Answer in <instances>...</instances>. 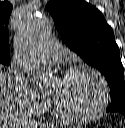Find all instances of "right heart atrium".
<instances>
[{
  "mask_svg": "<svg viewBox=\"0 0 125 128\" xmlns=\"http://www.w3.org/2000/svg\"><path fill=\"white\" fill-rule=\"evenodd\" d=\"M11 86L16 104L21 111L36 115L46 108L48 101L34 90L21 74H12Z\"/></svg>",
  "mask_w": 125,
  "mask_h": 128,
  "instance_id": "obj_1",
  "label": "right heart atrium"
}]
</instances>
